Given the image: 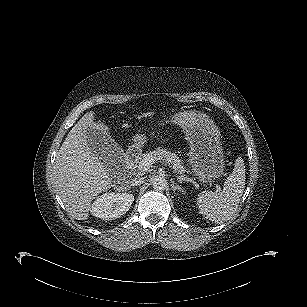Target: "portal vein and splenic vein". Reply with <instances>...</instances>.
Segmentation results:
<instances>
[{
    "instance_id": "18ae733b",
    "label": "portal vein and splenic vein",
    "mask_w": 307,
    "mask_h": 307,
    "mask_svg": "<svg viewBox=\"0 0 307 307\" xmlns=\"http://www.w3.org/2000/svg\"><path fill=\"white\" fill-rule=\"evenodd\" d=\"M154 163V159L152 158H144L139 162L138 170L146 171L150 168V166Z\"/></svg>"
}]
</instances>
